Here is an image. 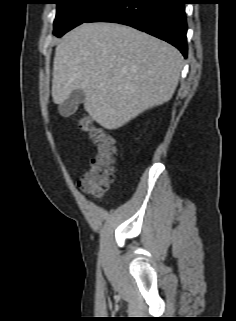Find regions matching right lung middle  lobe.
<instances>
[{
	"label": "right lung middle lobe",
	"mask_w": 236,
	"mask_h": 321,
	"mask_svg": "<svg viewBox=\"0 0 236 321\" xmlns=\"http://www.w3.org/2000/svg\"><path fill=\"white\" fill-rule=\"evenodd\" d=\"M57 14L53 34H63L83 23L102 8L109 0H55Z\"/></svg>",
	"instance_id": "right-lung-middle-lobe-1"
}]
</instances>
